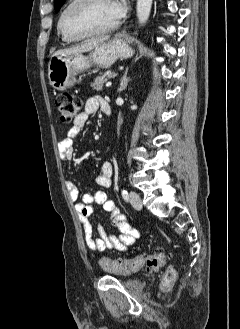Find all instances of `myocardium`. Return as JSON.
I'll return each mask as SVG.
<instances>
[{
  "mask_svg": "<svg viewBox=\"0 0 240 329\" xmlns=\"http://www.w3.org/2000/svg\"><path fill=\"white\" fill-rule=\"evenodd\" d=\"M91 2H93V0H72V2L63 10L60 17V31L67 39L72 41L81 40L89 37L107 34L118 28L119 21L117 20L115 23L105 28L90 30L80 34H75L71 32L67 27V19L69 15L78 7L85 6Z\"/></svg>",
  "mask_w": 240,
  "mask_h": 329,
  "instance_id": "obj_1",
  "label": "myocardium"
}]
</instances>
